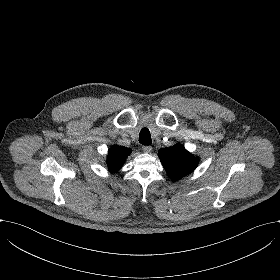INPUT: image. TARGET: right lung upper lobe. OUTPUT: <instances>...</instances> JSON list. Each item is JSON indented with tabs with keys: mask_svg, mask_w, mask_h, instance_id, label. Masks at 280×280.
Returning <instances> with one entry per match:
<instances>
[{
	"mask_svg": "<svg viewBox=\"0 0 280 280\" xmlns=\"http://www.w3.org/2000/svg\"><path fill=\"white\" fill-rule=\"evenodd\" d=\"M132 150L123 146L115 145L109 151L106 161L108 169L112 173H116L125 162L126 158L131 154Z\"/></svg>",
	"mask_w": 280,
	"mask_h": 280,
	"instance_id": "cb5924a9",
	"label": "right lung upper lobe"
}]
</instances>
